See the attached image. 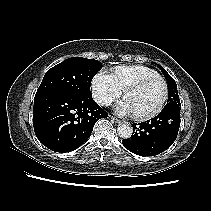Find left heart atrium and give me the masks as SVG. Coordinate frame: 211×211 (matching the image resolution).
I'll list each match as a JSON object with an SVG mask.
<instances>
[{
	"instance_id": "39dd6f15",
	"label": "left heart atrium",
	"mask_w": 211,
	"mask_h": 211,
	"mask_svg": "<svg viewBox=\"0 0 211 211\" xmlns=\"http://www.w3.org/2000/svg\"><path fill=\"white\" fill-rule=\"evenodd\" d=\"M115 111L120 114V115H129V114H133V110L132 107L130 105V103L124 99L123 101H121L117 107L115 108Z\"/></svg>"
}]
</instances>
